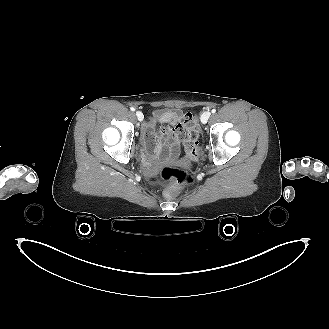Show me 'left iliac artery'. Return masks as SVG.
<instances>
[{
	"label": "left iliac artery",
	"mask_w": 329,
	"mask_h": 329,
	"mask_svg": "<svg viewBox=\"0 0 329 329\" xmlns=\"http://www.w3.org/2000/svg\"><path fill=\"white\" fill-rule=\"evenodd\" d=\"M213 114L216 112V109H212V111H211Z\"/></svg>",
	"instance_id": "44dca946"
}]
</instances>
